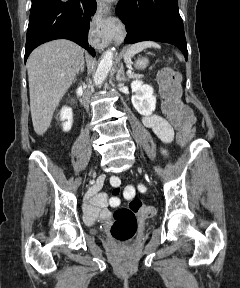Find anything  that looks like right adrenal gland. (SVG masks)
<instances>
[{"label": "right adrenal gland", "mask_w": 240, "mask_h": 288, "mask_svg": "<svg viewBox=\"0 0 240 288\" xmlns=\"http://www.w3.org/2000/svg\"><path fill=\"white\" fill-rule=\"evenodd\" d=\"M84 72V61H83V63H82V65H81V67H80V71H78L77 72V75L79 74V73H83ZM76 81V79L74 80V82Z\"/></svg>", "instance_id": "right-adrenal-gland-1"}]
</instances>
